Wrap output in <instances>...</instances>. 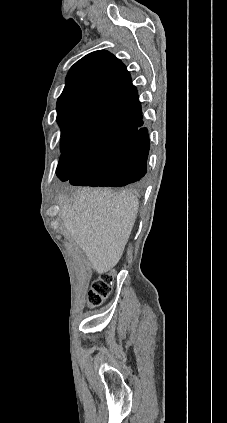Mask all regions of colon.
Wrapping results in <instances>:
<instances>
[{"instance_id":"colon-1","label":"colon","mask_w":227,"mask_h":423,"mask_svg":"<svg viewBox=\"0 0 227 423\" xmlns=\"http://www.w3.org/2000/svg\"><path fill=\"white\" fill-rule=\"evenodd\" d=\"M112 284L113 277L110 274H103L94 280L87 295L88 305L92 307L101 305L110 295Z\"/></svg>"}]
</instances>
